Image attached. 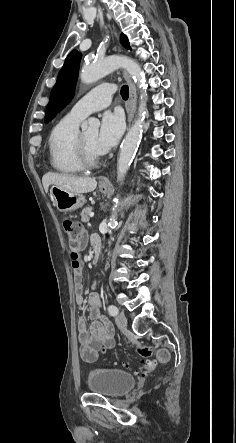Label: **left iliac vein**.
Instances as JSON below:
<instances>
[{
	"label": "left iliac vein",
	"mask_w": 236,
	"mask_h": 443,
	"mask_svg": "<svg viewBox=\"0 0 236 443\" xmlns=\"http://www.w3.org/2000/svg\"><path fill=\"white\" fill-rule=\"evenodd\" d=\"M116 324L120 329H126L127 327V318L124 314H118L115 318Z\"/></svg>",
	"instance_id": "left-iliac-vein-1"
}]
</instances>
